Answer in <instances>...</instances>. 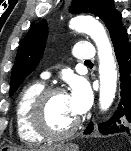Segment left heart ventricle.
<instances>
[{
  "label": "left heart ventricle",
  "mask_w": 131,
  "mask_h": 151,
  "mask_svg": "<svg viewBox=\"0 0 131 151\" xmlns=\"http://www.w3.org/2000/svg\"><path fill=\"white\" fill-rule=\"evenodd\" d=\"M46 120L48 127L55 132L68 129L76 120L67 94L53 96L47 106Z\"/></svg>",
  "instance_id": "obj_1"
}]
</instances>
